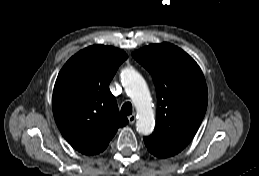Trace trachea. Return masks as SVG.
I'll use <instances>...</instances> for the list:
<instances>
[{"instance_id": "3493384b", "label": "trachea", "mask_w": 259, "mask_h": 176, "mask_svg": "<svg viewBox=\"0 0 259 176\" xmlns=\"http://www.w3.org/2000/svg\"><path fill=\"white\" fill-rule=\"evenodd\" d=\"M132 104L130 102H126L123 104L121 108V113L124 115H131L132 114Z\"/></svg>"}]
</instances>
